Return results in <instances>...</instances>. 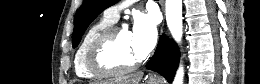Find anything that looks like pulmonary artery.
Instances as JSON below:
<instances>
[{
	"label": "pulmonary artery",
	"instance_id": "pulmonary-artery-1",
	"mask_svg": "<svg viewBox=\"0 0 260 84\" xmlns=\"http://www.w3.org/2000/svg\"><path fill=\"white\" fill-rule=\"evenodd\" d=\"M132 3V1H123L119 3L118 5L109 7L108 9L105 10L104 15L111 21L115 22L118 17L119 13L122 9L125 7L129 6Z\"/></svg>",
	"mask_w": 260,
	"mask_h": 84
}]
</instances>
